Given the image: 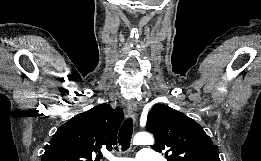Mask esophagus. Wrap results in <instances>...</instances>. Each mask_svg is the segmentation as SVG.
I'll use <instances>...</instances> for the list:
<instances>
[{"label":"esophagus","instance_id":"obj_1","mask_svg":"<svg viewBox=\"0 0 261 161\" xmlns=\"http://www.w3.org/2000/svg\"><path fill=\"white\" fill-rule=\"evenodd\" d=\"M127 112L129 116H131L134 121L137 120V104L134 101H130L127 105Z\"/></svg>","mask_w":261,"mask_h":161}]
</instances>
